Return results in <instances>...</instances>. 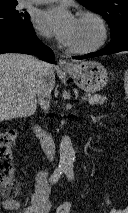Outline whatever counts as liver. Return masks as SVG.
<instances>
[{
  "label": "liver",
  "mask_w": 128,
  "mask_h": 213,
  "mask_svg": "<svg viewBox=\"0 0 128 213\" xmlns=\"http://www.w3.org/2000/svg\"><path fill=\"white\" fill-rule=\"evenodd\" d=\"M38 60L29 55H0V122L28 117L37 109ZM53 89L55 75L51 66L47 77Z\"/></svg>",
  "instance_id": "6515ba94"
}]
</instances>
